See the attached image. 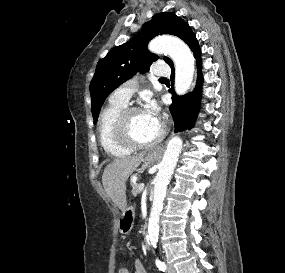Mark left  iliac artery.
<instances>
[{"mask_svg":"<svg viewBox=\"0 0 285 273\" xmlns=\"http://www.w3.org/2000/svg\"><path fill=\"white\" fill-rule=\"evenodd\" d=\"M156 266L158 267V269L160 270V271H165L166 270V264L163 262V261H161V260H159V259H156Z\"/></svg>","mask_w":285,"mask_h":273,"instance_id":"obj_1","label":"left iliac artery"}]
</instances>
